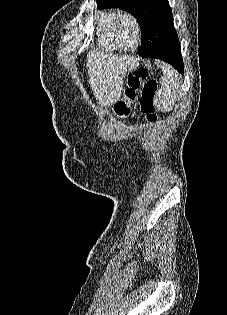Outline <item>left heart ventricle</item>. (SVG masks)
<instances>
[{"mask_svg":"<svg viewBox=\"0 0 227 315\" xmlns=\"http://www.w3.org/2000/svg\"><path fill=\"white\" fill-rule=\"evenodd\" d=\"M119 38L125 47H132L136 43V33L133 24L125 20L119 27Z\"/></svg>","mask_w":227,"mask_h":315,"instance_id":"obj_1","label":"left heart ventricle"}]
</instances>
